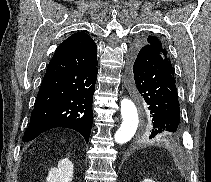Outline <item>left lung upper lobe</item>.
<instances>
[{
  "label": "left lung upper lobe",
  "instance_id": "left-lung-upper-lobe-1",
  "mask_svg": "<svg viewBox=\"0 0 211 182\" xmlns=\"http://www.w3.org/2000/svg\"><path fill=\"white\" fill-rule=\"evenodd\" d=\"M139 41L143 43L144 45L152 48L154 51L158 52L159 54H161L165 59L166 66L170 70L171 74L174 75L173 67H172L170 59L167 56L166 48L162 46L161 41L157 37L148 36L146 39H142Z\"/></svg>",
  "mask_w": 211,
  "mask_h": 182
}]
</instances>
